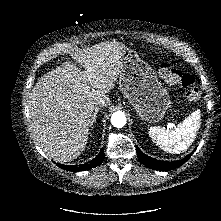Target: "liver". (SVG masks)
<instances>
[{
	"mask_svg": "<svg viewBox=\"0 0 221 221\" xmlns=\"http://www.w3.org/2000/svg\"><path fill=\"white\" fill-rule=\"evenodd\" d=\"M124 47L107 41L76 51L72 58L83 71L65 62L35 84L28 101L31 131L55 161L69 162L85 150L95 98L114 87Z\"/></svg>",
	"mask_w": 221,
	"mask_h": 221,
	"instance_id": "6515ba94",
	"label": "liver"
}]
</instances>
